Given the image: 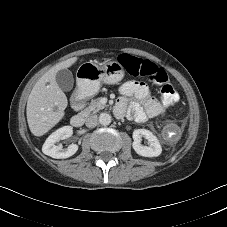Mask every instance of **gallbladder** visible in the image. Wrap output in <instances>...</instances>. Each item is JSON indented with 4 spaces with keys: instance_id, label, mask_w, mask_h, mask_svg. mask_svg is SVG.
I'll use <instances>...</instances> for the list:
<instances>
[{
    "instance_id": "obj_1",
    "label": "gallbladder",
    "mask_w": 227,
    "mask_h": 227,
    "mask_svg": "<svg viewBox=\"0 0 227 227\" xmlns=\"http://www.w3.org/2000/svg\"><path fill=\"white\" fill-rule=\"evenodd\" d=\"M56 82L61 90L70 91L73 88V74L68 69L59 70L56 74Z\"/></svg>"
}]
</instances>
